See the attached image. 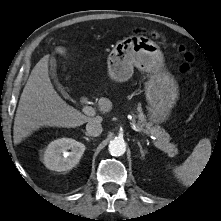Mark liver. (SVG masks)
<instances>
[{
    "mask_svg": "<svg viewBox=\"0 0 221 221\" xmlns=\"http://www.w3.org/2000/svg\"><path fill=\"white\" fill-rule=\"evenodd\" d=\"M55 51L65 55L64 47H56ZM49 55H45L35 65L21 94L14 119V143L41 127H77L92 121H102L100 116L87 117L68 105L55 91L48 71ZM99 110L109 112L112 102L107 98L98 101Z\"/></svg>",
    "mask_w": 221,
    "mask_h": 221,
    "instance_id": "6515ba94",
    "label": "liver"
}]
</instances>
